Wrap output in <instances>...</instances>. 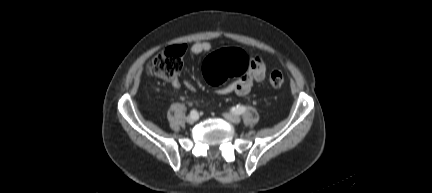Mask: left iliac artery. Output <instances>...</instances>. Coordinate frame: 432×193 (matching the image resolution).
Returning <instances> with one entry per match:
<instances>
[{"instance_id": "44dca946", "label": "left iliac artery", "mask_w": 432, "mask_h": 193, "mask_svg": "<svg viewBox=\"0 0 432 193\" xmlns=\"http://www.w3.org/2000/svg\"><path fill=\"white\" fill-rule=\"evenodd\" d=\"M245 110H246V107L245 106H240V105H237L236 107H233L231 109V111L233 113H235V114H242V113L245 112Z\"/></svg>"}]
</instances>
